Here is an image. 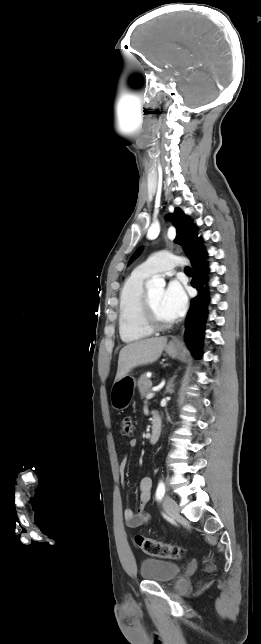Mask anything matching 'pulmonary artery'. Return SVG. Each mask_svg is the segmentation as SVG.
<instances>
[{
	"mask_svg": "<svg viewBox=\"0 0 261 644\" xmlns=\"http://www.w3.org/2000/svg\"><path fill=\"white\" fill-rule=\"evenodd\" d=\"M186 259L169 252H159L143 262L138 269L148 275L167 273L175 267H183Z\"/></svg>",
	"mask_w": 261,
	"mask_h": 644,
	"instance_id": "obj_1",
	"label": "pulmonary artery"
}]
</instances>
